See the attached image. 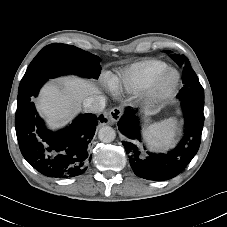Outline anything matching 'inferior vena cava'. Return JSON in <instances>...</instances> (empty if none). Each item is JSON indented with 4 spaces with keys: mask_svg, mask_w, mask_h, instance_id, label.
Listing matches in <instances>:
<instances>
[{
    "mask_svg": "<svg viewBox=\"0 0 227 227\" xmlns=\"http://www.w3.org/2000/svg\"><path fill=\"white\" fill-rule=\"evenodd\" d=\"M83 106L89 113H100L105 108V97L101 95L87 97L83 101Z\"/></svg>",
    "mask_w": 227,
    "mask_h": 227,
    "instance_id": "1",
    "label": "inferior vena cava"
}]
</instances>
